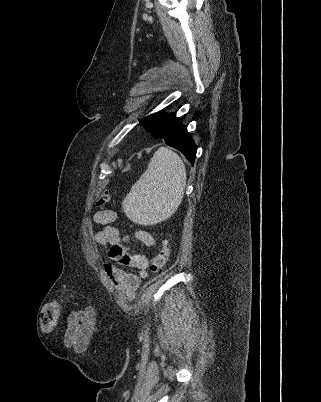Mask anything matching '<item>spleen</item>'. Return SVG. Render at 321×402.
Returning a JSON list of instances; mask_svg holds the SVG:
<instances>
[{"label":"spleen","instance_id":"spleen-1","mask_svg":"<svg viewBox=\"0 0 321 402\" xmlns=\"http://www.w3.org/2000/svg\"><path fill=\"white\" fill-rule=\"evenodd\" d=\"M186 180V168L179 155L160 147L124 198L123 211L136 224H157L170 217L180 205Z\"/></svg>","mask_w":321,"mask_h":402}]
</instances>
